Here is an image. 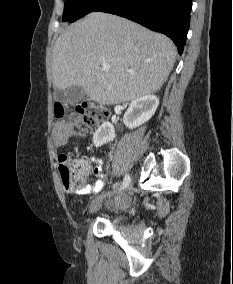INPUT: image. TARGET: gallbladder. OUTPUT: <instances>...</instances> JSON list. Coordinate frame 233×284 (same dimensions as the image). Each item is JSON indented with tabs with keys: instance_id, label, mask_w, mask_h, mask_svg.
Masks as SVG:
<instances>
[{
	"instance_id": "obj_1",
	"label": "gallbladder",
	"mask_w": 233,
	"mask_h": 284,
	"mask_svg": "<svg viewBox=\"0 0 233 284\" xmlns=\"http://www.w3.org/2000/svg\"><path fill=\"white\" fill-rule=\"evenodd\" d=\"M84 88L79 86H72L66 90H56L55 99L61 103L75 104L81 101L86 96Z\"/></svg>"
}]
</instances>
